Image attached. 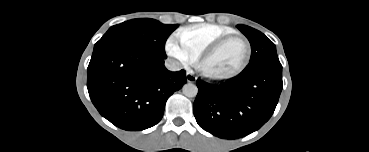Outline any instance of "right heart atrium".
Listing matches in <instances>:
<instances>
[{"mask_svg":"<svg viewBox=\"0 0 369 152\" xmlns=\"http://www.w3.org/2000/svg\"><path fill=\"white\" fill-rule=\"evenodd\" d=\"M166 52L183 67H188L196 61L193 53L180 41L176 35L170 36L165 44Z\"/></svg>","mask_w":369,"mask_h":152,"instance_id":"right-heart-atrium-1","label":"right heart atrium"}]
</instances>
